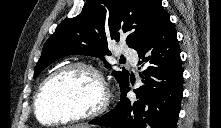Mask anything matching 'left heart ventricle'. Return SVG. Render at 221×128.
<instances>
[{
    "instance_id": "obj_1",
    "label": "left heart ventricle",
    "mask_w": 221,
    "mask_h": 128,
    "mask_svg": "<svg viewBox=\"0 0 221 128\" xmlns=\"http://www.w3.org/2000/svg\"><path fill=\"white\" fill-rule=\"evenodd\" d=\"M99 95L95 78L80 69L67 71L48 82L38 103V115L43 122L90 109Z\"/></svg>"
}]
</instances>
